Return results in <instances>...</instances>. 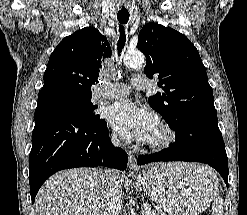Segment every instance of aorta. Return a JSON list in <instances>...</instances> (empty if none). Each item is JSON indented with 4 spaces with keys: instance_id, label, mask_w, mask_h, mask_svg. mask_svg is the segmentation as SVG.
I'll return each mask as SVG.
<instances>
[{
    "instance_id": "aorta-1",
    "label": "aorta",
    "mask_w": 247,
    "mask_h": 215,
    "mask_svg": "<svg viewBox=\"0 0 247 215\" xmlns=\"http://www.w3.org/2000/svg\"><path fill=\"white\" fill-rule=\"evenodd\" d=\"M145 57L139 51L128 52L124 56V64L132 68H140L144 65Z\"/></svg>"
}]
</instances>
